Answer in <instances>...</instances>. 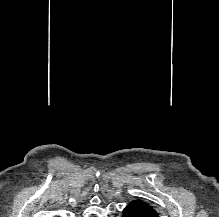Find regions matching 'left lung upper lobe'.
<instances>
[{"instance_id": "5c2ea615", "label": "left lung upper lobe", "mask_w": 219, "mask_h": 217, "mask_svg": "<svg viewBox=\"0 0 219 217\" xmlns=\"http://www.w3.org/2000/svg\"><path fill=\"white\" fill-rule=\"evenodd\" d=\"M135 203H138L140 206H142L146 211H148L149 213L158 215V213L156 212V210L147 202H144L142 200H136L133 201Z\"/></svg>"}]
</instances>
